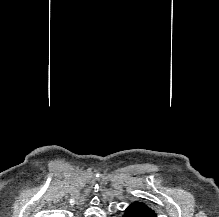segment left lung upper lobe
Here are the masks:
<instances>
[{"instance_id": "5c2ea615", "label": "left lung upper lobe", "mask_w": 219, "mask_h": 217, "mask_svg": "<svg viewBox=\"0 0 219 217\" xmlns=\"http://www.w3.org/2000/svg\"><path fill=\"white\" fill-rule=\"evenodd\" d=\"M138 204H140L142 207H144L145 209H147L148 211L155 213V211L153 209H151L148 205L144 204V203H140V202H136Z\"/></svg>"}]
</instances>
